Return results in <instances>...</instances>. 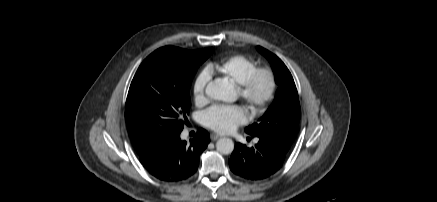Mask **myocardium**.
I'll return each mask as SVG.
<instances>
[{"instance_id":"1","label":"myocardium","mask_w":437,"mask_h":202,"mask_svg":"<svg viewBox=\"0 0 437 202\" xmlns=\"http://www.w3.org/2000/svg\"><path fill=\"white\" fill-rule=\"evenodd\" d=\"M264 78L267 82V88L263 94L255 92L257 81ZM277 87L275 73L268 67H259L253 70L240 84L238 91L240 97L249 106L254 114L260 113L272 100Z\"/></svg>"}]
</instances>
